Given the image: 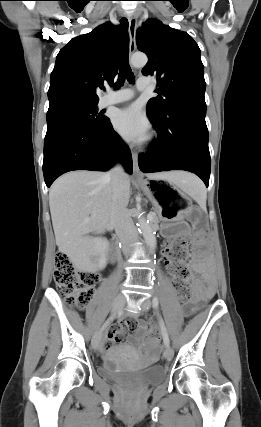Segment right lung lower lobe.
<instances>
[{"mask_svg": "<svg viewBox=\"0 0 261 427\" xmlns=\"http://www.w3.org/2000/svg\"><path fill=\"white\" fill-rule=\"evenodd\" d=\"M121 156L128 173H132V156L113 130L110 121L99 126L76 121L55 122L47 127L44 141L43 173L47 187L68 171L110 169Z\"/></svg>", "mask_w": 261, "mask_h": 427, "instance_id": "right-lung-lower-lobe-1", "label": "right lung lower lobe"}]
</instances>
